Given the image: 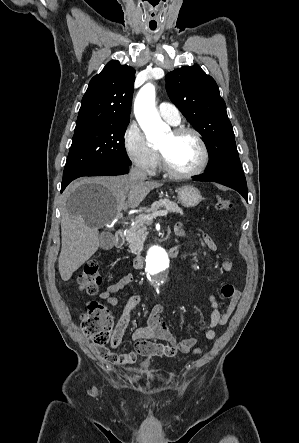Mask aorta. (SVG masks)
<instances>
[{
    "label": "aorta",
    "instance_id": "obj_1",
    "mask_svg": "<svg viewBox=\"0 0 299 443\" xmlns=\"http://www.w3.org/2000/svg\"><path fill=\"white\" fill-rule=\"evenodd\" d=\"M134 114L148 142L155 144L169 132V126L162 121L155 107V87L145 84L138 92L134 102ZM169 267L165 250L154 245L150 248L146 268L151 275H158Z\"/></svg>",
    "mask_w": 299,
    "mask_h": 443
}]
</instances>
